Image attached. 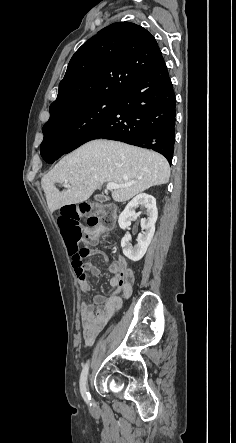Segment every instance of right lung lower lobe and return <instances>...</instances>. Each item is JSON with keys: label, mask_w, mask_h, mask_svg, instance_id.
I'll return each mask as SVG.
<instances>
[{"label": "right lung lower lobe", "mask_w": 236, "mask_h": 443, "mask_svg": "<svg viewBox=\"0 0 236 443\" xmlns=\"http://www.w3.org/2000/svg\"><path fill=\"white\" fill-rule=\"evenodd\" d=\"M176 99L163 57L135 80L111 108L67 146L40 150L53 163L87 141L104 138L122 141L161 153L171 163L175 142Z\"/></svg>", "instance_id": "obj_1"}]
</instances>
